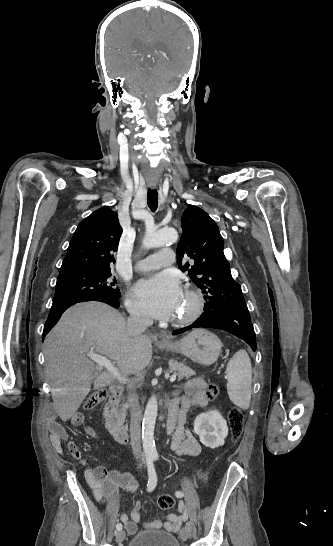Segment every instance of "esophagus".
I'll list each match as a JSON object with an SVG mask.
<instances>
[{
    "instance_id": "esophagus-1",
    "label": "esophagus",
    "mask_w": 333,
    "mask_h": 546,
    "mask_svg": "<svg viewBox=\"0 0 333 546\" xmlns=\"http://www.w3.org/2000/svg\"><path fill=\"white\" fill-rule=\"evenodd\" d=\"M155 186H156L155 184H152V185H151L152 188H155Z\"/></svg>"
}]
</instances>
